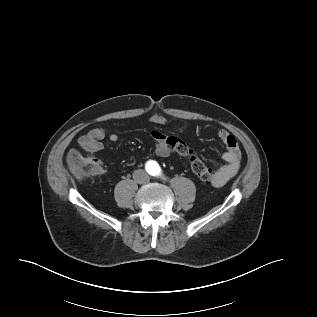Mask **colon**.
<instances>
[{"instance_id": "obj_1", "label": "colon", "mask_w": 317, "mask_h": 317, "mask_svg": "<svg viewBox=\"0 0 317 317\" xmlns=\"http://www.w3.org/2000/svg\"><path fill=\"white\" fill-rule=\"evenodd\" d=\"M180 155L188 159L192 173L200 181L209 183L213 180L212 169L203 163L191 148L187 147L185 150L180 151ZM71 170L74 176L79 180L92 177L98 173L96 163L84 157H76L71 163Z\"/></svg>"}]
</instances>
